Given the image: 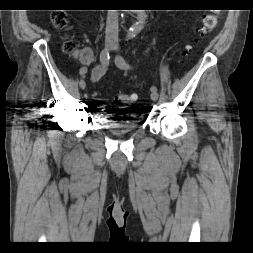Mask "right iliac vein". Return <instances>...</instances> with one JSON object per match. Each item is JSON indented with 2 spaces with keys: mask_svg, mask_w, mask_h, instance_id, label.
Masks as SVG:
<instances>
[{
  "mask_svg": "<svg viewBox=\"0 0 253 253\" xmlns=\"http://www.w3.org/2000/svg\"><path fill=\"white\" fill-rule=\"evenodd\" d=\"M105 47L107 49H111L113 47V38H111V37H107L106 38V40H105ZM79 86H80L81 89H85L86 83H85V81L83 79L80 80Z\"/></svg>",
  "mask_w": 253,
  "mask_h": 253,
  "instance_id": "obj_1",
  "label": "right iliac vein"
}]
</instances>
